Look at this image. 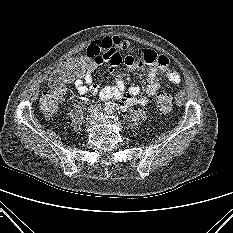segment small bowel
I'll return each mask as SVG.
<instances>
[{"instance_id": "obj_1", "label": "small bowel", "mask_w": 233, "mask_h": 233, "mask_svg": "<svg viewBox=\"0 0 233 233\" xmlns=\"http://www.w3.org/2000/svg\"><path fill=\"white\" fill-rule=\"evenodd\" d=\"M127 47L128 44L118 36L104 37L91 43L86 54L95 58V64L108 63L110 72L115 75V80L112 84L100 88L94 82L89 69L73 82L78 93L82 95L99 94L103 100L115 98L120 102L121 109L126 110L133 105H146L149 97L162 90L163 85L158 81V77L162 74L166 75L172 83L177 84L180 82L179 74L169 67V61L165 56L158 55L150 50H140L135 55L127 54L122 57L119 50H127ZM148 61H155L159 64L153 65L147 63ZM122 63L137 69L142 68L143 64L150 66L147 74L148 86L145 95L141 94L138 86H132L125 90L124 75L119 68Z\"/></svg>"}]
</instances>
